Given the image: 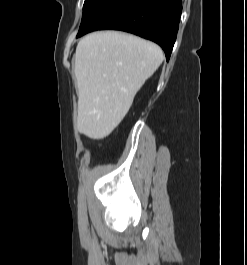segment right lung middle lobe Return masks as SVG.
<instances>
[{
	"mask_svg": "<svg viewBox=\"0 0 247 265\" xmlns=\"http://www.w3.org/2000/svg\"><path fill=\"white\" fill-rule=\"evenodd\" d=\"M99 1L100 0H85L84 6H83V16H82V20L89 14V12L94 8V6Z\"/></svg>",
	"mask_w": 247,
	"mask_h": 265,
	"instance_id": "obj_1",
	"label": "right lung middle lobe"
}]
</instances>
